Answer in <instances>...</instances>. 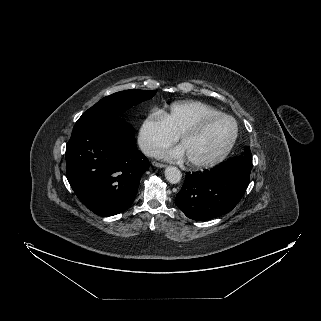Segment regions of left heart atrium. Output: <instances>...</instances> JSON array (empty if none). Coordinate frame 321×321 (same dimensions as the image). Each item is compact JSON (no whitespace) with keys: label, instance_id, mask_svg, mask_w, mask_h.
I'll use <instances>...</instances> for the list:
<instances>
[{"label":"left heart atrium","instance_id":"left-heart-atrium-1","mask_svg":"<svg viewBox=\"0 0 321 321\" xmlns=\"http://www.w3.org/2000/svg\"><path fill=\"white\" fill-rule=\"evenodd\" d=\"M157 155L170 161L182 160L186 157L184 148L181 145L168 151L159 152Z\"/></svg>","mask_w":321,"mask_h":321}]
</instances>
